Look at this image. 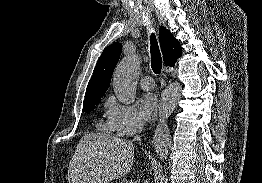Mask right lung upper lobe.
I'll return each instance as SVG.
<instances>
[{"label": "right lung upper lobe", "instance_id": "cb5924a9", "mask_svg": "<svg viewBox=\"0 0 262 183\" xmlns=\"http://www.w3.org/2000/svg\"><path fill=\"white\" fill-rule=\"evenodd\" d=\"M159 40L164 63L167 66H174L182 54V47L179 41L164 26L159 30ZM121 50V43H113L104 49L88 83L84 101L101 99L105 94L109 87L114 68L120 57Z\"/></svg>", "mask_w": 262, "mask_h": 183}]
</instances>
